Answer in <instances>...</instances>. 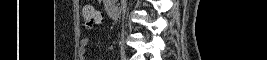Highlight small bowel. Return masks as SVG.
<instances>
[{"label":"small bowel","instance_id":"small-bowel-1","mask_svg":"<svg viewBox=\"0 0 267 60\" xmlns=\"http://www.w3.org/2000/svg\"><path fill=\"white\" fill-rule=\"evenodd\" d=\"M82 44L84 45V46H86L87 44H88V39L87 38H84V39H82Z\"/></svg>","mask_w":267,"mask_h":60}]
</instances>
